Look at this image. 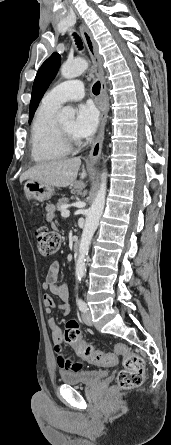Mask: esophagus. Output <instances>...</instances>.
I'll return each mask as SVG.
<instances>
[{
  "label": "esophagus",
  "mask_w": 171,
  "mask_h": 445,
  "mask_svg": "<svg viewBox=\"0 0 171 445\" xmlns=\"http://www.w3.org/2000/svg\"><path fill=\"white\" fill-rule=\"evenodd\" d=\"M80 31L82 34V37L84 39V42L86 44V47L89 51V54L91 56L93 67L97 73L98 78L101 81V93H100V100H99V108L101 110V116H100V125H99V132L98 136L95 140V142L92 145V148L90 150V154L88 156L87 160V167H92L97 160L100 157L101 150H102V144L104 140V131H105V125L108 117V111H109V98L107 94V86H106V79L104 76V70H103V62L102 58L98 52V47L88 30V28L85 25H80Z\"/></svg>",
  "instance_id": "esophagus-1"
}]
</instances>
